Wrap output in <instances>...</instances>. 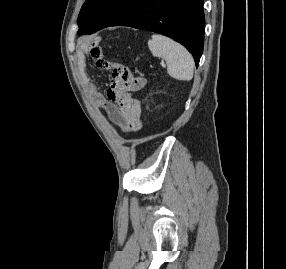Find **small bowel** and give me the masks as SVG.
Wrapping results in <instances>:
<instances>
[{
  "label": "small bowel",
  "mask_w": 286,
  "mask_h": 269,
  "mask_svg": "<svg viewBox=\"0 0 286 269\" xmlns=\"http://www.w3.org/2000/svg\"><path fill=\"white\" fill-rule=\"evenodd\" d=\"M89 53L95 60L97 66L110 70L116 64L104 59L101 47L97 43H90L84 47L79 54V69L83 77V83L93 102L96 111H105L110 121L118 127L119 133L138 131L141 127L142 110H123L124 95H120L110 84L107 92V98L100 92L99 85L90 77L89 67L85 62V55ZM135 78H143L136 76ZM145 83H143L144 87Z\"/></svg>",
  "instance_id": "obj_1"
}]
</instances>
